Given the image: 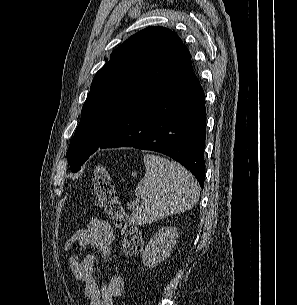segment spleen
<instances>
[{
	"mask_svg": "<svg viewBox=\"0 0 297 305\" xmlns=\"http://www.w3.org/2000/svg\"><path fill=\"white\" fill-rule=\"evenodd\" d=\"M146 173L135 194L142 200L131 222L150 224L191 209L199 199V184L183 166L152 154L144 155Z\"/></svg>",
	"mask_w": 297,
	"mask_h": 305,
	"instance_id": "1",
	"label": "spleen"
}]
</instances>
